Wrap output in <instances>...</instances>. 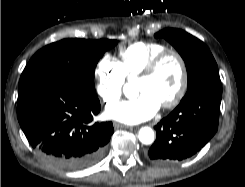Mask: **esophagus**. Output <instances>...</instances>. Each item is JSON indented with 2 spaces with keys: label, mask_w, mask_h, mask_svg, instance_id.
I'll list each match as a JSON object with an SVG mask.
<instances>
[{
  "label": "esophagus",
  "mask_w": 245,
  "mask_h": 187,
  "mask_svg": "<svg viewBox=\"0 0 245 187\" xmlns=\"http://www.w3.org/2000/svg\"><path fill=\"white\" fill-rule=\"evenodd\" d=\"M114 128L115 129H123V128H129V126L121 124V123H118V122H115L114 123Z\"/></svg>",
  "instance_id": "1"
}]
</instances>
